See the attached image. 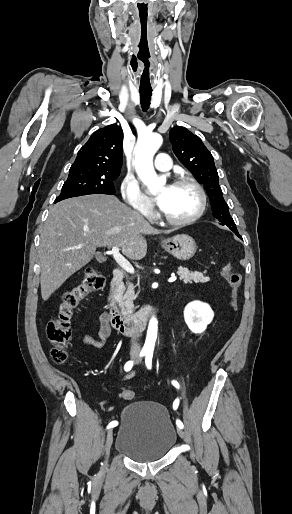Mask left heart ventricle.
I'll use <instances>...</instances> for the list:
<instances>
[{"mask_svg": "<svg viewBox=\"0 0 292 514\" xmlns=\"http://www.w3.org/2000/svg\"><path fill=\"white\" fill-rule=\"evenodd\" d=\"M165 190L163 187L158 193ZM198 205V196L194 189L189 186L171 187L165 197L162 210L174 219H183L196 210Z\"/></svg>", "mask_w": 292, "mask_h": 514, "instance_id": "b2bd125f", "label": "left heart ventricle"}]
</instances>
